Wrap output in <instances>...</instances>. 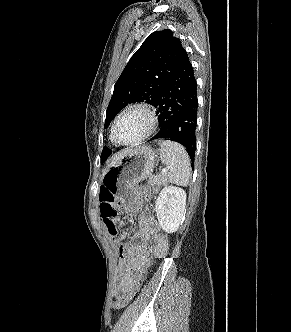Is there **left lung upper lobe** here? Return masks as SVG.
<instances>
[{
    "label": "left lung upper lobe",
    "mask_w": 291,
    "mask_h": 332,
    "mask_svg": "<svg viewBox=\"0 0 291 332\" xmlns=\"http://www.w3.org/2000/svg\"><path fill=\"white\" fill-rule=\"evenodd\" d=\"M184 52L180 39L174 37L169 29L149 35L131 57L114 85L104 128L130 103L146 102L154 106ZM110 154V149L103 148L101 163H104Z\"/></svg>",
    "instance_id": "obj_1"
}]
</instances>
